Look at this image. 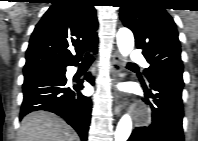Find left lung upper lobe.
Returning <instances> with one entry per match:
<instances>
[{"mask_svg": "<svg viewBox=\"0 0 198 141\" xmlns=\"http://www.w3.org/2000/svg\"><path fill=\"white\" fill-rule=\"evenodd\" d=\"M120 18L132 30L137 48L142 50L150 67L144 74L148 81L157 75L182 78L181 46L176 24L160 0H126Z\"/></svg>", "mask_w": 198, "mask_h": 141, "instance_id": "1", "label": "left lung upper lobe"}]
</instances>
